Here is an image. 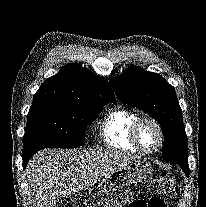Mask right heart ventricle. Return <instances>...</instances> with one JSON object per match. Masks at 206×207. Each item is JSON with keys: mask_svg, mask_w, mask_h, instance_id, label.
<instances>
[{"mask_svg": "<svg viewBox=\"0 0 206 207\" xmlns=\"http://www.w3.org/2000/svg\"><path fill=\"white\" fill-rule=\"evenodd\" d=\"M138 118L136 112L124 107L109 111L100 123V135L106 146L120 151L137 152L131 142L130 129Z\"/></svg>", "mask_w": 206, "mask_h": 207, "instance_id": "1", "label": "right heart ventricle"}]
</instances>
